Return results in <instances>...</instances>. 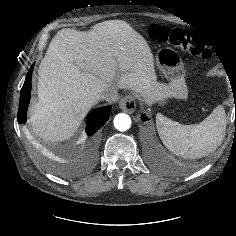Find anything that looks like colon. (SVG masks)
<instances>
[{
  "instance_id": "colon-1",
  "label": "colon",
  "mask_w": 236,
  "mask_h": 236,
  "mask_svg": "<svg viewBox=\"0 0 236 236\" xmlns=\"http://www.w3.org/2000/svg\"><path fill=\"white\" fill-rule=\"evenodd\" d=\"M149 33L157 41L187 51L204 60H209L212 56L207 45L190 31L154 24L150 27Z\"/></svg>"
}]
</instances>
